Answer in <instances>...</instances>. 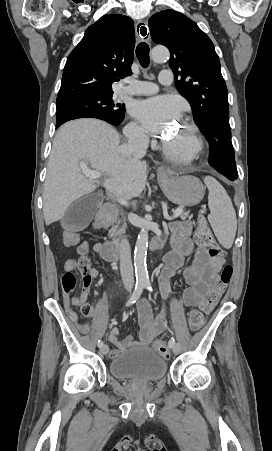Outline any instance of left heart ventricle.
Masks as SVG:
<instances>
[{
  "label": "left heart ventricle",
  "instance_id": "left-heart-ventricle-1",
  "mask_svg": "<svg viewBox=\"0 0 272 451\" xmlns=\"http://www.w3.org/2000/svg\"><path fill=\"white\" fill-rule=\"evenodd\" d=\"M189 138V132L184 126H181L177 133L174 136L175 142L178 143V145H183L188 141Z\"/></svg>",
  "mask_w": 272,
  "mask_h": 451
}]
</instances>
